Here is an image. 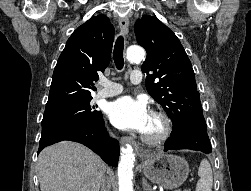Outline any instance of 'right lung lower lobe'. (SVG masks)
Masks as SVG:
<instances>
[{
    "instance_id": "right-lung-lower-lobe-1",
    "label": "right lung lower lobe",
    "mask_w": 251,
    "mask_h": 191,
    "mask_svg": "<svg viewBox=\"0 0 251 191\" xmlns=\"http://www.w3.org/2000/svg\"><path fill=\"white\" fill-rule=\"evenodd\" d=\"M62 140L79 142L99 154L109 165L116 167L118 164L119 144L117 140L109 138L103 119L96 124L70 121L42 131L38 153Z\"/></svg>"
}]
</instances>
